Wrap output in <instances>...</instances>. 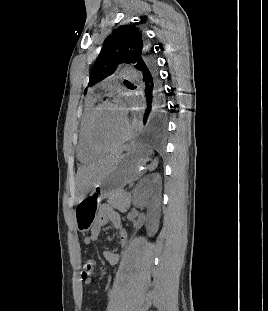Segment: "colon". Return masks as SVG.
<instances>
[{
    "instance_id": "obj_1",
    "label": "colon",
    "mask_w": 268,
    "mask_h": 311,
    "mask_svg": "<svg viewBox=\"0 0 268 311\" xmlns=\"http://www.w3.org/2000/svg\"><path fill=\"white\" fill-rule=\"evenodd\" d=\"M96 266V262L92 258H86L83 263H82V276L83 277H88L90 276Z\"/></svg>"
}]
</instances>
